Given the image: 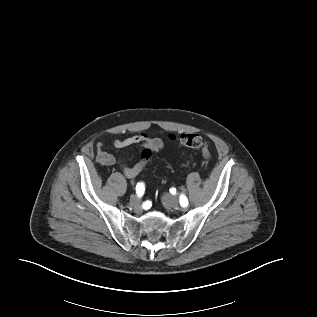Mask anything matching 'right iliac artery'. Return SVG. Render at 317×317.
<instances>
[{
    "mask_svg": "<svg viewBox=\"0 0 317 317\" xmlns=\"http://www.w3.org/2000/svg\"><path fill=\"white\" fill-rule=\"evenodd\" d=\"M144 191H145L144 183H138L136 185L137 195L141 197L144 194Z\"/></svg>",
    "mask_w": 317,
    "mask_h": 317,
    "instance_id": "right-iliac-artery-1",
    "label": "right iliac artery"
}]
</instances>
